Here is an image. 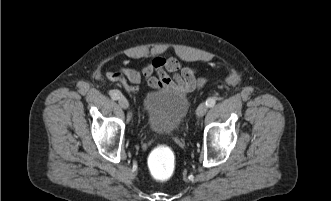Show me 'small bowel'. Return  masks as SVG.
<instances>
[{
	"label": "small bowel",
	"instance_id": "obj_1",
	"mask_svg": "<svg viewBox=\"0 0 331 201\" xmlns=\"http://www.w3.org/2000/svg\"><path fill=\"white\" fill-rule=\"evenodd\" d=\"M107 78L120 82L132 94L137 93L142 78L153 89L173 87L188 93L197 85L194 70L183 67L175 57L156 56L141 71L124 67L119 72L107 73Z\"/></svg>",
	"mask_w": 331,
	"mask_h": 201
}]
</instances>
